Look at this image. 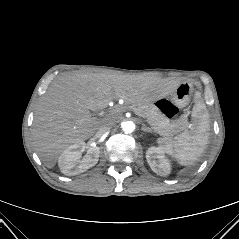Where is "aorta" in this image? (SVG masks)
<instances>
[{
  "mask_svg": "<svg viewBox=\"0 0 239 239\" xmlns=\"http://www.w3.org/2000/svg\"><path fill=\"white\" fill-rule=\"evenodd\" d=\"M121 128L126 134H129L135 130L136 125L132 121H125V122H122Z\"/></svg>",
  "mask_w": 239,
  "mask_h": 239,
  "instance_id": "762f6f07",
  "label": "aorta"
}]
</instances>
